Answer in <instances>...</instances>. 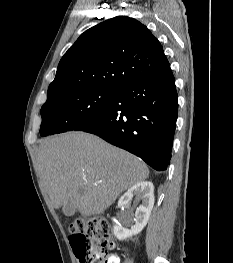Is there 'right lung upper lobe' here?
I'll return each mask as SVG.
<instances>
[{"mask_svg": "<svg viewBox=\"0 0 233 263\" xmlns=\"http://www.w3.org/2000/svg\"><path fill=\"white\" fill-rule=\"evenodd\" d=\"M170 69L162 45L137 20L118 16L85 31L64 54L48 97L83 88L119 89Z\"/></svg>", "mask_w": 233, "mask_h": 263, "instance_id": "obj_1", "label": "right lung upper lobe"}]
</instances>
